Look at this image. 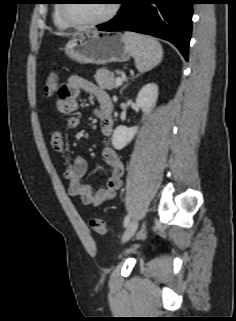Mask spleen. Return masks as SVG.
Here are the masks:
<instances>
[{"label":"spleen","instance_id":"1","mask_svg":"<svg viewBox=\"0 0 236 321\" xmlns=\"http://www.w3.org/2000/svg\"><path fill=\"white\" fill-rule=\"evenodd\" d=\"M123 40L130 49L136 67L140 72L149 71L161 62L163 49L156 39L125 32Z\"/></svg>","mask_w":236,"mask_h":321}]
</instances>
